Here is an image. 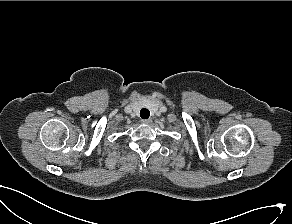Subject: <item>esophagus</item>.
<instances>
[{"label": "esophagus", "mask_w": 292, "mask_h": 224, "mask_svg": "<svg viewBox=\"0 0 292 224\" xmlns=\"http://www.w3.org/2000/svg\"><path fill=\"white\" fill-rule=\"evenodd\" d=\"M141 122L143 124L149 125V124H151L152 120L151 119H143Z\"/></svg>", "instance_id": "1"}]
</instances>
